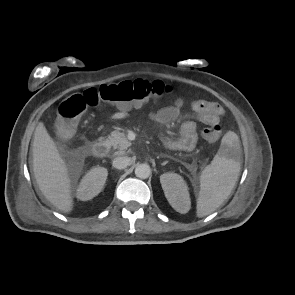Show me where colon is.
<instances>
[{
    "label": "colon",
    "mask_w": 295,
    "mask_h": 295,
    "mask_svg": "<svg viewBox=\"0 0 295 295\" xmlns=\"http://www.w3.org/2000/svg\"><path fill=\"white\" fill-rule=\"evenodd\" d=\"M170 92L171 87L163 82L143 79L126 80L86 89L70 96L59 105L57 132L62 138H69L74 133L82 114L100 103H110L122 109H133ZM203 137L208 142H217L221 137L219 123L206 127L203 130Z\"/></svg>",
    "instance_id": "1"
}]
</instances>
